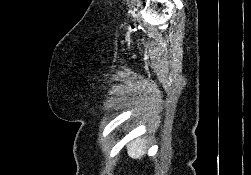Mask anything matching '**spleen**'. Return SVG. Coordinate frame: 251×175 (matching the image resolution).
<instances>
[{
    "label": "spleen",
    "instance_id": "3e777b00",
    "mask_svg": "<svg viewBox=\"0 0 251 175\" xmlns=\"http://www.w3.org/2000/svg\"><path fill=\"white\" fill-rule=\"evenodd\" d=\"M146 139L143 137H137V139H132L130 143H128V155L133 157V159H140L144 153H146Z\"/></svg>",
    "mask_w": 251,
    "mask_h": 175
}]
</instances>
